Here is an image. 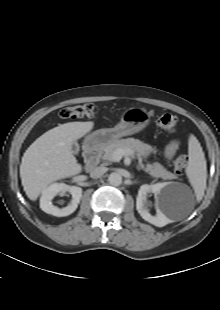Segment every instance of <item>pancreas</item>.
Wrapping results in <instances>:
<instances>
[{
  "label": "pancreas",
  "instance_id": "cf45deb5",
  "mask_svg": "<svg viewBox=\"0 0 220 310\" xmlns=\"http://www.w3.org/2000/svg\"><path fill=\"white\" fill-rule=\"evenodd\" d=\"M117 149H130L133 152L137 153L140 160L147 158L154 151V149L150 145L145 144L138 139L127 138L116 140L113 143L104 147L103 149L104 154L102 158L107 164L115 161L114 152ZM144 171L149 173L153 177L162 178L164 180H170L176 177L173 173L167 171L166 168H164L158 162H155L153 164H146L144 166Z\"/></svg>",
  "mask_w": 220,
  "mask_h": 310
}]
</instances>
